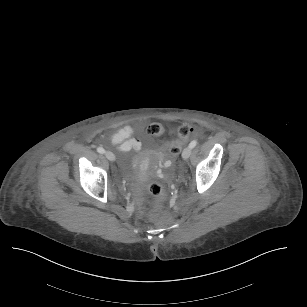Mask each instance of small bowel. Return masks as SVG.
<instances>
[{
    "instance_id": "c3829d8e",
    "label": "small bowel",
    "mask_w": 307,
    "mask_h": 307,
    "mask_svg": "<svg viewBox=\"0 0 307 307\" xmlns=\"http://www.w3.org/2000/svg\"><path fill=\"white\" fill-rule=\"evenodd\" d=\"M132 134V126L125 125L113 133L110 140L120 151L123 152L138 149L140 147V142L137 139L131 138Z\"/></svg>"
}]
</instances>
